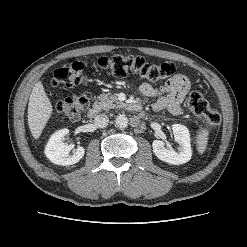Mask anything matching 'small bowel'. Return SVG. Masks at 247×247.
Returning a JSON list of instances; mask_svg holds the SVG:
<instances>
[{"label": "small bowel", "instance_id": "1", "mask_svg": "<svg viewBox=\"0 0 247 247\" xmlns=\"http://www.w3.org/2000/svg\"><path fill=\"white\" fill-rule=\"evenodd\" d=\"M190 90L188 78L182 74H176L167 79L159 88L143 82L140 85V92L147 97L159 96L153 104L157 112L168 110L174 115L182 113V102Z\"/></svg>", "mask_w": 247, "mask_h": 247}]
</instances>
